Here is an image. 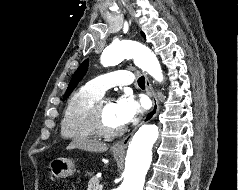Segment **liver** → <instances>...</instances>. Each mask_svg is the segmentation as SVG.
I'll return each instance as SVG.
<instances>
[{"label":"liver","instance_id":"6515ba94","mask_svg":"<svg viewBox=\"0 0 238 190\" xmlns=\"http://www.w3.org/2000/svg\"><path fill=\"white\" fill-rule=\"evenodd\" d=\"M72 149H81L89 152H105L108 150V146L105 143L94 140L74 139L66 147V150Z\"/></svg>","mask_w":238,"mask_h":190}]
</instances>
